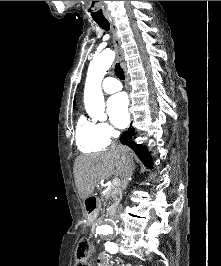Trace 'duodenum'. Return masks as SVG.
Wrapping results in <instances>:
<instances>
[{
  "mask_svg": "<svg viewBox=\"0 0 221 266\" xmlns=\"http://www.w3.org/2000/svg\"><path fill=\"white\" fill-rule=\"evenodd\" d=\"M99 194H88V197L85 200L86 210L88 212L89 220L92 221L95 219V210L99 209L100 202ZM116 212L113 211V208H110V211L106 212L107 216H113Z\"/></svg>",
  "mask_w": 221,
  "mask_h": 266,
  "instance_id": "1",
  "label": "duodenum"
}]
</instances>
